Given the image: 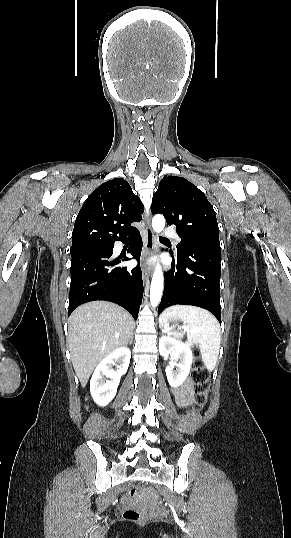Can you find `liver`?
I'll return each instance as SVG.
<instances>
[{
    "instance_id": "obj_1",
    "label": "liver",
    "mask_w": 291,
    "mask_h": 538,
    "mask_svg": "<svg viewBox=\"0 0 291 538\" xmlns=\"http://www.w3.org/2000/svg\"><path fill=\"white\" fill-rule=\"evenodd\" d=\"M133 330L132 316L111 302H89L74 310L68 319L67 341L82 387L105 356L128 344Z\"/></svg>"
}]
</instances>
